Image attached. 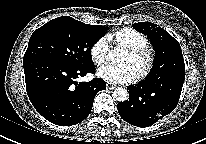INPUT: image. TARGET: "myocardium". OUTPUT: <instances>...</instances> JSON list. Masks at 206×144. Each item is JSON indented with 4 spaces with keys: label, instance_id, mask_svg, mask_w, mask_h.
<instances>
[{
    "label": "myocardium",
    "instance_id": "myocardium-1",
    "mask_svg": "<svg viewBox=\"0 0 206 144\" xmlns=\"http://www.w3.org/2000/svg\"><path fill=\"white\" fill-rule=\"evenodd\" d=\"M127 51L134 57L143 60V66L137 74V80L145 79L152 71L154 65V53L147 46L127 47Z\"/></svg>",
    "mask_w": 206,
    "mask_h": 144
}]
</instances>
